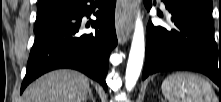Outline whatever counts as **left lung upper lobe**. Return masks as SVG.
Listing matches in <instances>:
<instances>
[{"instance_id": "left-lung-upper-lobe-1", "label": "left lung upper lobe", "mask_w": 221, "mask_h": 102, "mask_svg": "<svg viewBox=\"0 0 221 102\" xmlns=\"http://www.w3.org/2000/svg\"><path fill=\"white\" fill-rule=\"evenodd\" d=\"M212 19V0H181Z\"/></svg>"}]
</instances>
